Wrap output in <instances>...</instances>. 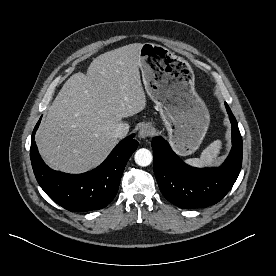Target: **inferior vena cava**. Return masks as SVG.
<instances>
[{
    "instance_id": "obj_1",
    "label": "inferior vena cava",
    "mask_w": 276,
    "mask_h": 276,
    "mask_svg": "<svg viewBox=\"0 0 276 276\" xmlns=\"http://www.w3.org/2000/svg\"><path fill=\"white\" fill-rule=\"evenodd\" d=\"M129 131V125L127 123H119L114 129V136L119 139H123L127 136Z\"/></svg>"
}]
</instances>
